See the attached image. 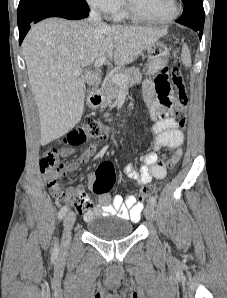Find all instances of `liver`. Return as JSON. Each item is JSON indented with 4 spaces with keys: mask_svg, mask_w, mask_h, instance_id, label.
Returning a JSON list of instances; mask_svg holds the SVG:
<instances>
[{
    "mask_svg": "<svg viewBox=\"0 0 227 298\" xmlns=\"http://www.w3.org/2000/svg\"><path fill=\"white\" fill-rule=\"evenodd\" d=\"M166 33L165 29L101 26L60 18L32 26L22 52L38 107L41 145L64 136L80 122L86 83L100 82L98 74L90 70L82 76H74V71L101 57L116 66L130 64Z\"/></svg>",
    "mask_w": 227,
    "mask_h": 298,
    "instance_id": "1",
    "label": "liver"
}]
</instances>
